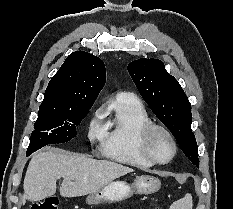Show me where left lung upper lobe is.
<instances>
[{"mask_svg": "<svg viewBox=\"0 0 233 209\" xmlns=\"http://www.w3.org/2000/svg\"><path fill=\"white\" fill-rule=\"evenodd\" d=\"M128 71L145 102L171 131L184 154L198 167L197 143L191 130V104L178 81L157 59L135 60L128 65Z\"/></svg>", "mask_w": 233, "mask_h": 209, "instance_id": "obj_1", "label": "left lung upper lobe"}]
</instances>
